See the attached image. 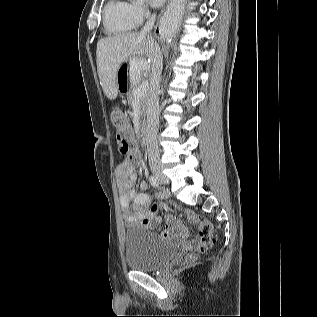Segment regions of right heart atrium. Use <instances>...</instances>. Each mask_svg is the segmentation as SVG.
I'll return each mask as SVG.
<instances>
[{
  "mask_svg": "<svg viewBox=\"0 0 317 317\" xmlns=\"http://www.w3.org/2000/svg\"><path fill=\"white\" fill-rule=\"evenodd\" d=\"M132 12L137 25L141 24L149 16L148 8L142 4L132 5Z\"/></svg>",
  "mask_w": 317,
  "mask_h": 317,
  "instance_id": "right-heart-atrium-1",
  "label": "right heart atrium"
}]
</instances>
